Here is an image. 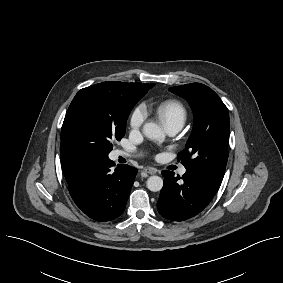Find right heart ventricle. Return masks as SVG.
Listing matches in <instances>:
<instances>
[{"instance_id": "right-heart-ventricle-1", "label": "right heart ventricle", "mask_w": 283, "mask_h": 283, "mask_svg": "<svg viewBox=\"0 0 283 283\" xmlns=\"http://www.w3.org/2000/svg\"><path fill=\"white\" fill-rule=\"evenodd\" d=\"M155 113L165 127L170 124H180L183 126L187 119L185 106L175 99L160 102L155 108Z\"/></svg>"}]
</instances>
